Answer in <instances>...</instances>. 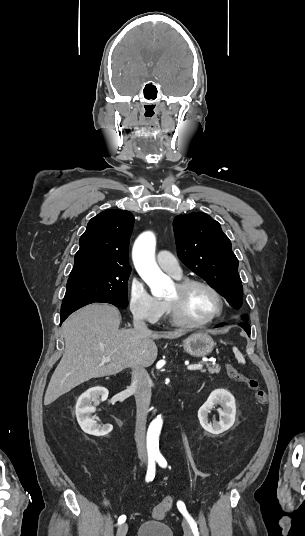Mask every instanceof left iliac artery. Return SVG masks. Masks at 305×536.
I'll return each mask as SVG.
<instances>
[{
    "instance_id": "left-iliac-artery-1",
    "label": "left iliac artery",
    "mask_w": 305,
    "mask_h": 536,
    "mask_svg": "<svg viewBox=\"0 0 305 536\" xmlns=\"http://www.w3.org/2000/svg\"><path fill=\"white\" fill-rule=\"evenodd\" d=\"M156 461L163 468L167 466V462H166V460H165V458L163 456H157ZM177 506H178L180 512L185 516V518L189 522L194 536H199L197 524L194 521V519L188 514V512L186 510V507H185V504L183 502H181V501H178Z\"/></svg>"
}]
</instances>
